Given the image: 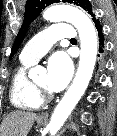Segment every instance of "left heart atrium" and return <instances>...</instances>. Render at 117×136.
Masks as SVG:
<instances>
[{
  "mask_svg": "<svg viewBox=\"0 0 117 136\" xmlns=\"http://www.w3.org/2000/svg\"><path fill=\"white\" fill-rule=\"evenodd\" d=\"M47 87L52 92L63 90L68 84L73 65L70 57L64 51L54 53L48 60Z\"/></svg>",
  "mask_w": 117,
  "mask_h": 136,
  "instance_id": "obj_1",
  "label": "left heart atrium"
}]
</instances>
